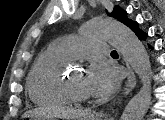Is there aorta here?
<instances>
[{
	"mask_svg": "<svg viewBox=\"0 0 165 120\" xmlns=\"http://www.w3.org/2000/svg\"><path fill=\"white\" fill-rule=\"evenodd\" d=\"M86 35L110 40L142 82L140 91L124 109L122 120H142L151 102V64L144 45L133 31L116 20L93 18L84 25Z\"/></svg>",
	"mask_w": 165,
	"mask_h": 120,
	"instance_id": "aorta-1",
	"label": "aorta"
}]
</instances>
